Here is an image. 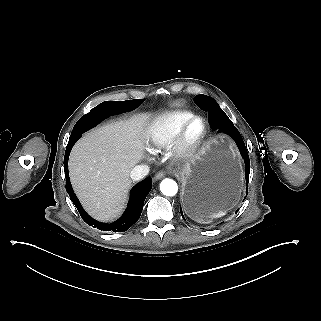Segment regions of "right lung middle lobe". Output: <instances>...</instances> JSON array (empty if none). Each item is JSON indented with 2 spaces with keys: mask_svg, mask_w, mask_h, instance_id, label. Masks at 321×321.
I'll return each mask as SVG.
<instances>
[{
  "mask_svg": "<svg viewBox=\"0 0 321 321\" xmlns=\"http://www.w3.org/2000/svg\"><path fill=\"white\" fill-rule=\"evenodd\" d=\"M143 101H144L143 99H135V100H127V101H121V102H118V101L103 102V103L99 104L98 106H96L95 108H93L89 113H87L86 115L81 117L79 119V121L76 123V125L74 126L73 131L78 130L82 126L93 123L95 120V116L93 113L103 106L132 104L137 108Z\"/></svg>",
  "mask_w": 321,
  "mask_h": 321,
  "instance_id": "right-lung-middle-lobe-1",
  "label": "right lung middle lobe"
}]
</instances>
